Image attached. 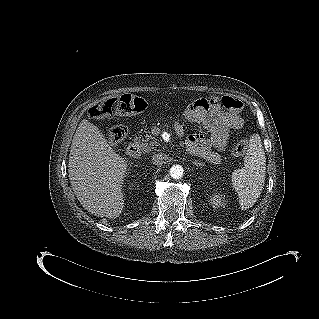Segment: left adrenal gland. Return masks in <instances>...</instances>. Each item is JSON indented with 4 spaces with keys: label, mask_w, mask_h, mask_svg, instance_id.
Masks as SVG:
<instances>
[{
    "label": "left adrenal gland",
    "mask_w": 319,
    "mask_h": 319,
    "mask_svg": "<svg viewBox=\"0 0 319 319\" xmlns=\"http://www.w3.org/2000/svg\"><path fill=\"white\" fill-rule=\"evenodd\" d=\"M195 165H197V166H199L200 165V163H197V162H193Z\"/></svg>",
    "instance_id": "1"
}]
</instances>
